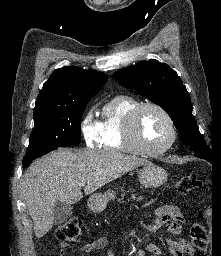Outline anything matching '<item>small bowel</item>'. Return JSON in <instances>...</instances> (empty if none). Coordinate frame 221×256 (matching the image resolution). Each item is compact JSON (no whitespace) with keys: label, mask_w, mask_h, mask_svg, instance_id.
<instances>
[{"label":"small bowel","mask_w":221,"mask_h":256,"mask_svg":"<svg viewBox=\"0 0 221 256\" xmlns=\"http://www.w3.org/2000/svg\"><path fill=\"white\" fill-rule=\"evenodd\" d=\"M183 217L179 209L172 205H163L154 210V219L151 223L144 225V228L150 232H154L170 222L168 226V233L172 236H178L181 234L182 227L181 222ZM168 247L173 256H184L190 250L189 243L182 238L167 240ZM108 246V240L104 237L96 238L90 242L85 243L81 247V252L89 254L94 251L103 250ZM146 250L151 256H160L161 249L155 243H148ZM108 256H115L114 252H110Z\"/></svg>","instance_id":"c3829d8e"}]
</instances>
